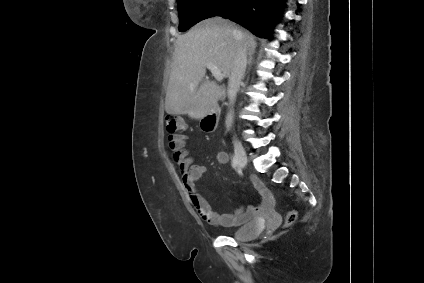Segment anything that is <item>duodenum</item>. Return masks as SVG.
Returning <instances> with one entry per match:
<instances>
[{
  "mask_svg": "<svg viewBox=\"0 0 424 283\" xmlns=\"http://www.w3.org/2000/svg\"><path fill=\"white\" fill-rule=\"evenodd\" d=\"M219 121V108L212 106L202 120V129L204 131L212 132L217 127Z\"/></svg>",
  "mask_w": 424,
  "mask_h": 283,
  "instance_id": "duodenum-1",
  "label": "duodenum"
}]
</instances>
